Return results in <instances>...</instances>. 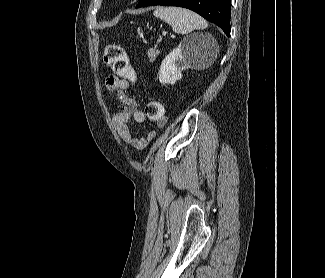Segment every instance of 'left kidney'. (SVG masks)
Here are the masks:
<instances>
[{
    "label": "left kidney",
    "instance_id": "5707ae66",
    "mask_svg": "<svg viewBox=\"0 0 325 278\" xmlns=\"http://www.w3.org/2000/svg\"><path fill=\"white\" fill-rule=\"evenodd\" d=\"M200 53L193 41L184 40L162 61L159 70L161 84H175L182 78V71L189 69L194 62V57Z\"/></svg>",
    "mask_w": 325,
    "mask_h": 278
}]
</instances>
